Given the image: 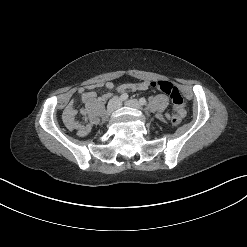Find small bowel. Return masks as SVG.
<instances>
[{
    "mask_svg": "<svg viewBox=\"0 0 247 247\" xmlns=\"http://www.w3.org/2000/svg\"><path fill=\"white\" fill-rule=\"evenodd\" d=\"M105 86L108 89L115 88V85L112 82H106V83H96L91 86H89V89H95ZM150 84L147 81L142 82H135V83H123L118 86H116V89L120 92L125 91H138V90H147L149 88ZM78 93L80 94V97L82 101L84 102H90L91 100L95 99L97 97V93L92 90H87L85 88H80L78 90ZM79 113L84 117L83 121H78L76 119L77 109L75 108V101L70 100V102L67 104L64 113H63V121L65 126L71 130L76 131V133L79 136H86L92 128L91 123L87 122L86 114L87 110L85 108L80 109ZM184 115V110H181V116Z\"/></svg>",
    "mask_w": 247,
    "mask_h": 247,
    "instance_id": "1",
    "label": "small bowel"
}]
</instances>
